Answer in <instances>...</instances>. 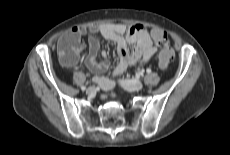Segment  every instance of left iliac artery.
<instances>
[{"instance_id":"obj_1","label":"left iliac artery","mask_w":230,"mask_h":155,"mask_svg":"<svg viewBox=\"0 0 230 155\" xmlns=\"http://www.w3.org/2000/svg\"><path fill=\"white\" fill-rule=\"evenodd\" d=\"M146 72H147V73H150V72H151V70H150V69H147V70H146Z\"/></svg>"}]
</instances>
